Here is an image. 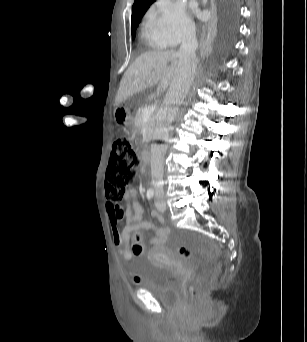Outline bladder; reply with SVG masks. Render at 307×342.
<instances>
[{"instance_id":"obj_1","label":"bladder","mask_w":307,"mask_h":342,"mask_svg":"<svg viewBox=\"0 0 307 342\" xmlns=\"http://www.w3.org/2000/svg\"><path fill=\"white\" fill-rule=\"evenodd\" d=\"M140 287L157 297L167 298L178 290L179 277L172 268L152 263L141 275Z\"/></svg>"}]
</instances>
